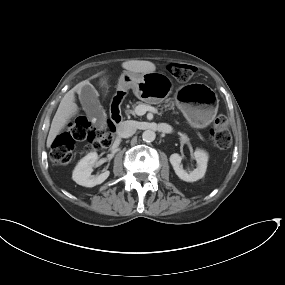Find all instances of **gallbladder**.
<instances>
[{
    "label": "gallbladder",
    "mask_w": 285,
    "mask_h": 285,
    "mask_svg": "<svg viewBox=\"0 0 285 285\" xmlns=\"http://www.w3.org/2000/svg\"><path fill=\"white\" fill-rule=\"evenodd\" d=\"M79 99L83 110L90 120L95 119V123H104L106 120L105 111L98 100V92L93 85L87 83L82 86Z\"/></svg>",
    "instance_id": "obj_1"
}]
</instances>
